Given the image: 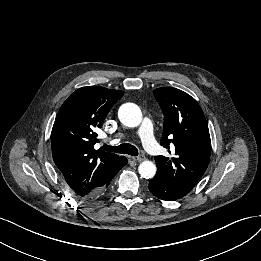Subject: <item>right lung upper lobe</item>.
I'll list each match as a JSON object with an SVG mask.
<instances>
[{
	"mask_svg": "<svg viewBox=\"0 0 261 261\" xmlns=\"http://www.w3.org/2000/svg\"><path fill=\"white\" fill-rule=\"evenodd\" d=\"M123 94L99 86L82 87L71 94L57 114L51 132L53 160L81 198L92 197L124 159L94 149L95 131Z\"/></svg>",
	"mask_w": 261,
	"mask_h": 261,
	"instance_id": "right-lung-upper-lobe-1",
	"label": "right lung upper lobe"
}]
</instances>
